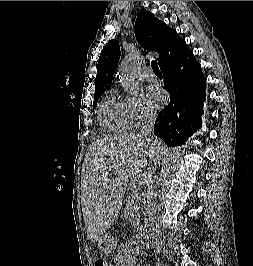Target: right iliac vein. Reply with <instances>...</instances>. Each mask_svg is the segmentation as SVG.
I'll list each match as a JSON object with an SVG mask.
<instances>
[{"mask_svg":"<svg viewBox=\"0 0 253 266\" xmlns=\"http://www.w3.org/2000/svg\"><path fill=\"white\" fill-rule=\"evenodd\" d=\"M160 266H166L164 263H161V265Z\"/></svg>","mask_w":253,"mask_h":266,"instance_id":"obj_1","label":"right iliac vein"}]
</instances>
